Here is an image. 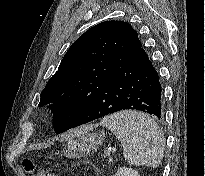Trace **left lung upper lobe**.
Returning <instances> with one entry per match:
<instances>
[{
    "mask_svg": "<svg viewBox=\"0 0 205 176\" xmlns=\"http://www.w3.org/2000/svg\"><path fill=\"white\" fill-rule=\"evenodd\" d=\"M140 46L137 32L123 21L99 23L70 46L38 105L50 104L56 133L72 128L104 83Z\"/></svg>",
    "mask_w": 205,
    "mask_h": 176,
    "instance_id": "left-lung-upper-lobe-1",
    "label": "left lung upper lobe"
}]
</instances>
